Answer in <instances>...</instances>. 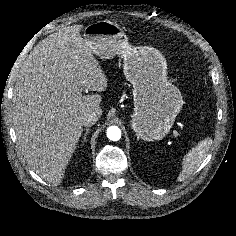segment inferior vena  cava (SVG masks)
I'll use <instances>...</instances> for the list:
<instances>
[{
  "mask_svg": "<svg viewBox=\"0 0 236 236\" xmlns=\"http://www.w3.org/2000/svg\"><path fill=\"white\" fill-rule=\"evenodd\" d=\"M100 116L94 111H88L82 115V124L84 126H91L99 120Z\"/></svg>",
  "mask_w": 236,
  "mask_h": 236,
  "instance_id": "602c4592",
  "label": "inferior vena cava"
}]
</instances>
